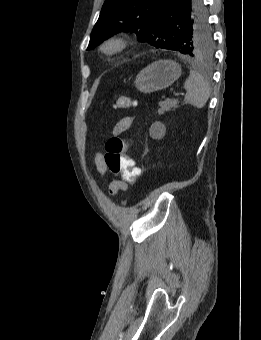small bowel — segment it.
Wrapping results in <instances>:
<instances>
[{
    "label": "small bowel",
    "instance_id": "c3829d8e",
    "mask_svg": "<svg viewBox=\"0 0 261 340\" xmlns=\"http://www.w3.org/2000/svg\"><path fill=\"white\" fill-rule=\"evenodd\" d=\"M133 123V118L131 116H125L120 119L114 126L113 133L115 135L121 134L127 131ZM94 163L96 169L100 175H105L107 172V165L104 161V156L102 153H96L94 156ZM128 188V184H126L122 180H116L110 183L109 185V193L111 195H116L121 191H125Z\"/></svg>",
    "mask_w": 261,
    "mask_h": 340
}]
</instances>
